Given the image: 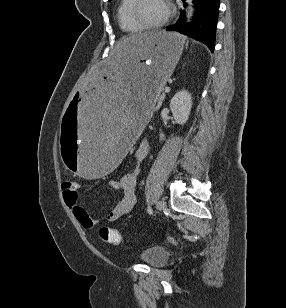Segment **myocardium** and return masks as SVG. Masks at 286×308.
<instances>
[{"mask_svg": "<svg viewBox=\"0 0 286 308\" xmlns=\"http://www.w3.org/2000/svg\"><path fill=\"white\" fill-rule=\"evenodd\" d=\"M141 2L142 0H132L129 14H130L131 19L143 29L154 30V29L162 28L168 23V21L171 19L173 15V10H172L169 0H165L166 6H167V14L164 17V19H162L161 21L157 23H147L139 15V7H140Z\"/></svg>", "mask_w": 286, "mask_h": 308, "instance_id": "f54148a6", "label": "myocardium"}]
</instances>
